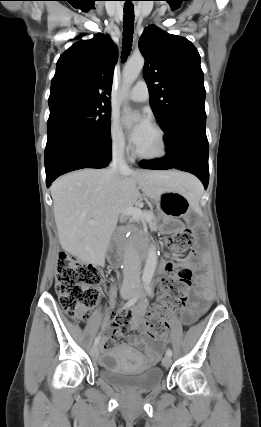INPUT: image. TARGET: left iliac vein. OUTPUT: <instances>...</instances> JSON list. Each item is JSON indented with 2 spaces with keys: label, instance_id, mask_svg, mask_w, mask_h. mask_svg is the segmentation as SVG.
Returning a JSON list of instances; mask_svg holds the SVG:
<instances>
[{
  "label": "left iliac vein",
  "instance_id": "1",
  "mask_svg": "<svg viewBox=\"0 0 261 427\" xmlns=\"http://www.w3.org/2000/svg\"><path fill=\"white\" fill-rule=\"evenodd\" d=\"M136 295H139L140 296V298L141 299H143L144 298V296H145V293H144V291H143V289L142 288H140L139 290H138V292H136L135 293V296ZM162 364H163V366L164 367H170V365L172 364V359H171V356H168V355H165L164 356V358L162 359Z\"/></svg>",
  "mask_w": 261,
  "mask_h": 427
}]
</instances>
